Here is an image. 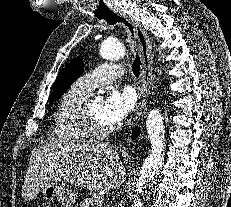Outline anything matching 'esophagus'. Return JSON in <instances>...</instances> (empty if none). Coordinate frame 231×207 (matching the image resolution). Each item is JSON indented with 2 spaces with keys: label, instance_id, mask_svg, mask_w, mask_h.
I'll list each match as a JSON object with an SVG mask.
<instances>
[{
  "label": "esophagus",
  "instance_id": "34e87169",
  "mask_svg": "<svg viewBox=\"0 0 231 207\" xmlns=\"http://www.w3.org/2000/svg\"><path fill=\"white\" fill-rule=\"evenodd\" d=\"M116 14L126 19L133 27L136 38L139 43V51L142 59L141 65V85L139 88V102L135 109V114L132 119V124L138 123L143 116L144 106L146 104V94L153 82V54L152 46L147 32L142 26L135 21L131 16L121 10H117Z\"/></svg>",
  "mask_w": 231,
  "mask_h": 207
}]
</instances>
